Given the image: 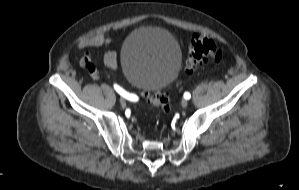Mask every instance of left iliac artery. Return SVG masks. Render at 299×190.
Masks as SVG:
<instances>
[{
    "label": "left iliac artery",
    "mask_w": 299,
    "mask_h": 190,
    "mask_svg": "<svg viewBox=\"0 0 299 190\" xmlns=\"http://www.w3.org/2000/svg\"><path fill=\"white\" fill-rule=\"evenodd\" d=\"M184 98H185V99H190V98H191L190 93H189V92H185V93H184Z\"/></svg>",
    "instance_id": "left-iliac-artery-1"
}]
</instances>
